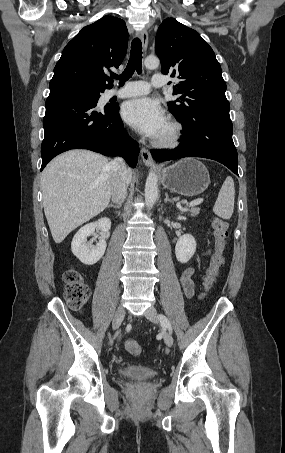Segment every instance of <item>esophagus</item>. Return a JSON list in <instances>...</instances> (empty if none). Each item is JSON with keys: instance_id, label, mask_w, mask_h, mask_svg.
Instances as JSON below:
<instances>
[{"instance_id": "esophagus-1", "label": "esophagus", "mask_w": 285, "mask_h": 453, "mask_svg": "<svg viewBox=\"0 0 285 453\" xmlns=\"http://www.w3.org/2000/svg\"><path fill=\"white\" fill-rule=\"evenodd\" d=\"M140 39L142 42L143 50L146 51L147 46H148V33H147L146 29H142V31L140 33ZM141 158H142L143 163L146 166L151 167V168L156 167V164L154 163V160L152 158L150 151L148 149H146L145 147H142V149H141Z\"/></svg>"}]
</instances>
